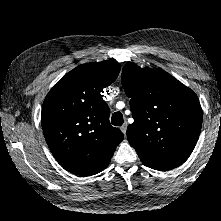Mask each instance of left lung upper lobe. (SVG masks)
Listing matches in <instances>:
<instances>
[{
    "instance_id": "left-lung-upper-lobe-1",
    "label": "left lung upper lobe",
    "mask_w": 221,
    "mask_h": 221,
    "mask_svg": "<svg viewBox=\"0 0 221 221\" xmlns=\"http://www.w3.org/2000/svg\"><path fill=\"white\" fill-rule=\"evenodd\" d=\"M122 85L131 98L134 118L127 138L140 160L171 168L184 163L202 126L196 94L162 69L141 68L131 62L123 67Z\"/></svg>"
}]
</instances>
